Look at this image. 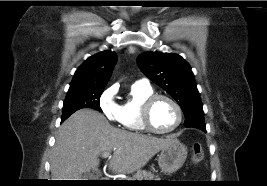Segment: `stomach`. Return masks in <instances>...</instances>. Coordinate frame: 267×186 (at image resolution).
Returning <instances> with one entry per match:
<instances>
[{
	"label": "stomach",
	"mask_w": 267,
	"mask_h": 186,
	"mask_svg": "<svg viewBox=\"0 0 267 186\" xmlns=\"http://www.w3.org/2000/svg\"><path fill=\"white\" fill-rule=\"evenodd\" d=\"M187 158V147L174 139L167 147L161 149L158 164L166 174L175 173L182 167Z\"/></svg>",
	"instance_id": "0dacf381"
}]
</instances>
